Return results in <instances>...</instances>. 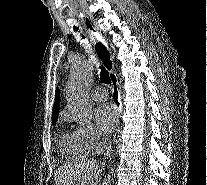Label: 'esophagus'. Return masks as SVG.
<instances>
[{"label":"esophagus","instance_id":"obj_1","mask_svg":"<svg viewBox=\"0 0 207 185\" xmlns=\"http://www.w3.org/2000/svg\"><path fill=\"white\" fill-rule=\"evenodd\" d=\"M85 29H88V26H85ZM95 37H98V34H95ZM93 42H97V39H93ZM107 43H95V48H107ZM97 55H104L99 56V61H104L102 63L103 67H106L109 71V76L112 85V100L116 106V118H117V125L118 128L115 131L113 136V143L117 145L119 141V124L121 118V111H126V106H121V95H120V88H119V79L115 72L114 66L115 63L112 61L113 57L111 56V51L109 49L106 50H97Z\"/></svg>","mask_w":207,"mask_h":185}]
</instances>
